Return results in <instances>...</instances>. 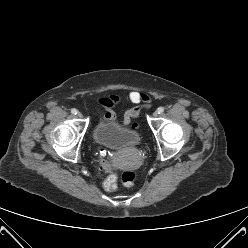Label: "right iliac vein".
<instances>
[{"label":"right iliac vein","mask_w":248,"mask_h":248,"mask_svg":"<svg viewBox=\"0 0 248 248\" xmlns=\"http://www.w3.org/2000/svg\"><path fill=\"white\" fill-rule=\"evenodd\" d=\"M77 116H78L79 118H82V117H83V115H82L81 112H77Z\"/></svg>","instance_id":"63e3f726"}]
</instances>
